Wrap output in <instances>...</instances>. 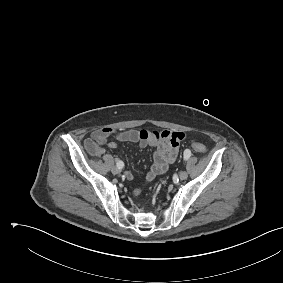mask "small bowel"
Instances as JSON below:
<instances>
[{"label":"small bowel","mask_w":283,"mask_h":283,"mask_svg":"<svg viewBox=\"0 0 283 283\" xmlns=\"http://www.w3.org/2000/svg\"><path fill=\"white\" fill-rule=\"evenodd\" d=\"M184 138L185 134L179 131L147 129L118 130L109 127L95 130L91 134V140L98 144H103L109 140L107 147L111 150L117 148L118 141L137 143L140 147H154V163L146 173L144 186L151 183L157 176L167 172L170 165L175 161L180 142ZM125 176L127 179H133V174L129 171L125 172ZM142 189H135L134 194H140Z\"/></svg>","instance_id":"obj_1"}]
</instances>
